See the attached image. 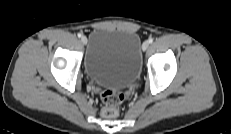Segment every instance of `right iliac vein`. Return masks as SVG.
<instances>
[{"label": "right iliac vein", "mask_w": 231, "mask_h": 134, "mask_svg": "<svg viewBox=\"0 0 231 134\" xmlns=\"http://www.w3.org/2000/svg\"><path fill=\"white\" fill-rule=\"evenodd\" d=\"M81 42H82L83 44H86V43H87V38H86L85 36H82V37H81Z\"/></svg>", "instance_id": "obj_1"}]
</instances>
